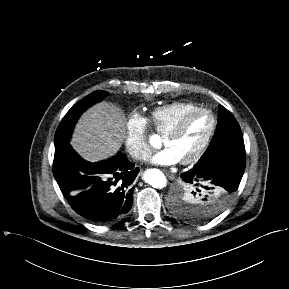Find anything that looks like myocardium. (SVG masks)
I'll return each instance as SVG.
<instances>
[{
    "instance_id": "1",
    "label": "myocardium",
    "mask_w": 289,
    "mask_h": 289,
    "mask_svg": "<svg viewBox=\"0 0 289 289\" xmlns=\"http://www.w3.org/2000/svg\"><path fill=\"white\" fill-rule=\"evenodd\" d=\"M200 113H205L208 114L212 120L211 128L203 140V142L200 144V146L187 158H184L180 160V162L184 165L192 164L200 159V157L204 154V152L207 150L208 146L210 145L216 129H217V118L214 115V113L207 108H197L194 110H191L187 113H185L164 135L163 138H171V137H176L178 136L183 129L185 128L187 122L189 121L190 118L193 116L200 114Z\"/></svg>"
}]
</instances>
